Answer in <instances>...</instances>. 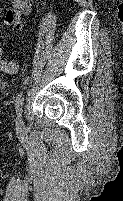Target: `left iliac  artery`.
<instances>
[{
  "instance_id": "1",
  "label": "left iliac artery",
  "mask_w": 123,
  "mask_h": 201,
  "mask_svg": "<svg viewBox=\"0 0 123 201\" xmlns=\"http://www.w3.org/2000/svg\"><path fill=\"white\" fill-rule=\"evenodd\" d=\"M23 93L20 92L17 97H16V102H15V108H16V112L18 115H21L22 112V106H23Z\"/></svg>"
}]
</instances>
